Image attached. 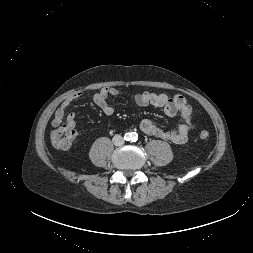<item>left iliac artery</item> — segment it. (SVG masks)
I'll return each instance as SVG.
<instances>
[{
	"label": "left iliac artery",
	"instance_id": "obj_1",
	"mask_svg": "<svg viewBox=\"0 0 253 253\" xmlns=\"http://www.w3.org/2000/svg\"><path fill=\"white\" fill-rule=\"evenodd\" d=\"M132 141H133V142H136V141H137V137L134 136V137L132 138Z\"/></svg>",
	"mask_w": 253,
	"mask_h": 253
}]
</instances>
